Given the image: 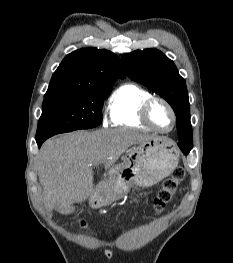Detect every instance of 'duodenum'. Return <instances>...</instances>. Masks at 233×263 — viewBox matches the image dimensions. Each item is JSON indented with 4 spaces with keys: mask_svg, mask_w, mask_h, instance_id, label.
Masks as SVG:
<instances>
[{
    "mask_svg": "<svg viewBox=\"0 0 233 263\" xmlns=\"http://www.w3.org/2000/svg\"><path fill=\"white\" fill-rule=\"evenodd\" d=\"M102 191V188L100 186H97L96 188V192L93 194L92 196V202L93 203H100L102 195L100 194V192Z\"/></svg>",
    "mask_w": 233,
    "mask_h": 263,
    "instance_id": "410a0bca",
    "label": "duodenum"
}]
</instances>
